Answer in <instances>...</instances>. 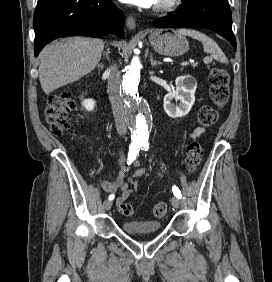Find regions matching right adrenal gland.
<instances>
[{"label":"right adrenal gland","instance_id":"2a0ac1e0","mask_svg":"<svg viewBox=\"0 0 272 282\" xmlns=\"http://www.w3.org/2000/svg\"><path fill=\"white\" fill-rule=\"evenodd\" d=\"M109 50L104 52V55L106 56V58L109 60ZM98 67H100L101 69H103L104 65L103 64H99Z\"/></svg>","mask_w":272,"mask_h":282}]
</instances>
